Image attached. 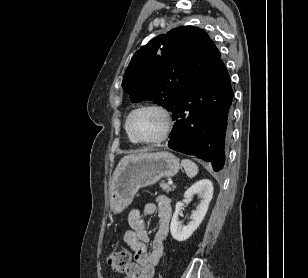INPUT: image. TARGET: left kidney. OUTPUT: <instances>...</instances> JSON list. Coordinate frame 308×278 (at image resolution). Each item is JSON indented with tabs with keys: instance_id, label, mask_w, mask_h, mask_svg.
I'll list each match as a JSON object with an SVG mask.
<instances>
[{
	"instance_id": "left-kidney-1",
	"label": "left kidney",
	"mask_w": 308,
	"mask_h": 278,
	"mask_svg": "<svg viewBox=\"0 0 308 278\" xmlns=\"http://www.w3.org/2000/svg\"><path fill=\"white\" fill-rule=\"evenodd\" d=\"M195 194L201 198V202L196 211L192 213V221L188 225L183 226L178 218L183 203L178 202L176 204L175 212L171 220L170 232L172 237L179 242L187 240L203 221L213 196L212 182L208 179H202L196 182L184 193V197L192 198Z\"/></svg>"
}]
</instances>
